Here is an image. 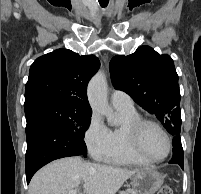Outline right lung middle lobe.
<instances>
[{
  "instance_id": "right-lung-middle-lobe-1",
  "label": "right lung middle lobe",
  "mask_w": 201,
  "mask_h": 194,
  "mask_svg": "<svg viewBox=\"0 0 201 194\" xmlns=\"http://www.w3.org/2000/svg\"><path fill=\"white\" fill-rule=\"evenodd\" d=\"M26 120L33 117H44L84 138L91 113L79 110L72 104L55 98H41L24 104ZM83 155L86 157L87 150Z\"/></svg>"
}]
</instances>
